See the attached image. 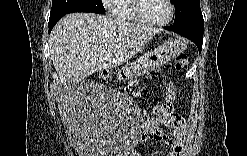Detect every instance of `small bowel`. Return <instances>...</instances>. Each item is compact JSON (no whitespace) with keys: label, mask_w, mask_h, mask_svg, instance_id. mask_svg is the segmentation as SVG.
I'll return each mask as SVG.
<instances>
[{"label":"small bowel","mask_w":247,"mask_h":156,"mask_svg":"<svg viewBox=\"0 0 247 156\" xmlns=\"http://www.w3.org/2000/svg\"><path fill=\"white\" fill-rule=\"evenodd\" d=\"M166 113H168V118H165L163 123L159 125H163L168 128L170 133L163 134L160 130L159 135L153 138V140L163 142L167 145V155H180L184 150L183 141L186 137V127L181 115L173 112V110L172 112ZM142 140H148V138L145 136L142 137ZM131 155L139 154L137 152H132Z\"/></svg>","instance_id":"c3829d8e"}]
</instances>
